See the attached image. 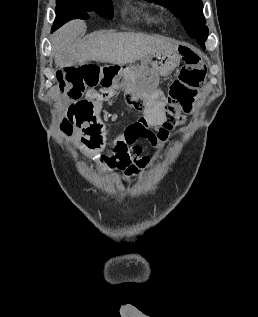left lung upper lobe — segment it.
I'll return each mask as SVG.
<instances>
[{"label":"left lung upper lobe","mask_w":258,"mask_h":317,"mask_svg":"<svg viewBox=\"0 0 258 317\" xmlns=\"http://www.w3.org/2000/svg\"><path fill=\"white\" fill-rule=\"evenodd\" d=\"M170 9L180 18L182 25L191 38L208 36L205 26L202 0H148Z\"/></svg>","instance_id":"left-lung-upper-lobe-1"}]
</instances>
